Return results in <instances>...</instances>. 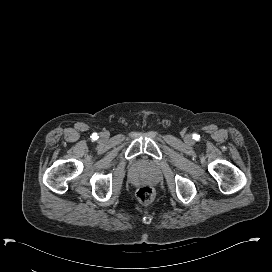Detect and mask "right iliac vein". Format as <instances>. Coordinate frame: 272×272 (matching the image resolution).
I'll use <instances>...</instances> for the list:
<instances>
[{
  "label": "right iliac vein",
  "instance_id": "right-iliac-vein-1",
  "mask_svg": "<svg viewBox=\"0 0 272 272\" xmlns=\"http://www.w3.org/2000/svg\"><path fill=\"white\" fill-rule=\"evenodd\" d=\"M106 135L105 134H101L100 137L104 138Z\"/></svg>",
  "mask_w": 272,
  "mask_h": 272
}]
</instances>
